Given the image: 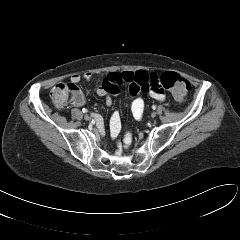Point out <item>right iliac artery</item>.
Returning <instances> with one entry per match:
<instances>
[{
  "label": "right iliac artery",
  "instance_id": "obj_1",
  "mask_svg": "<svg viewBox=\"0 0 240 240\" xmlns=\"http://www.w3.org/2000/svg\"><path fill=\"white\" fill-rule=\"evenodd\" d=\"M82 112H83V113H87L88 110H87L86 108H83V109H82Z\"/></svg>",
  "mask_w": 240,
  "mask_h": 240
}]
</instances>
